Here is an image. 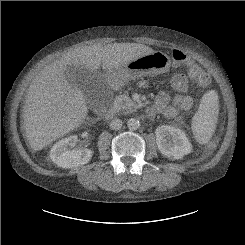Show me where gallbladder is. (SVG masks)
I'll return each instance as SVG.
<instances>
[{"label":"gallbladder","mask_w":245,"mask_h":245,"mask_svg":"<svg viewBox=\"0 0 245 245\" xmlns=\"http://www.w3.org/2000/svg\"><path fill=\"white\" fill-rule=\"evenodd\" d=\"M66 76L68 82L83 93L91 108L98 110L106 101H109L110 94L98 72L89 71L83 66L72 65L67 67Z\"/></svg>","instance_id":"bac80fb5"}]
</instances>
